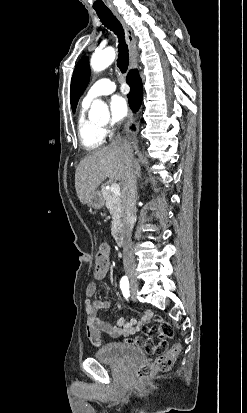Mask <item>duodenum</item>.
Wrapping results in <instances>:
<instances>
[{
  "label": "duodenum",
  "instance_id": "1",
  "mask_svg": "<svg viewBox=\"0 0 247 413\" xmlns=\"http://www.w3.org/2000/svg\"><path fill=\"white\" fill-rule=\"evenodd\" d=\"M113 241L116 245H122L124 241L123 232L120 229H114L111 233Z\"/></svg>",
  "mask_w": 247,
  "mask_h": 413
}]
</instances>
